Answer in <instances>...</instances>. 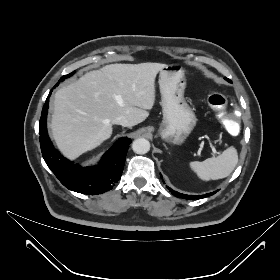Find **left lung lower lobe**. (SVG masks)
I'll return each mask as SVG.
<instances>
[{
	"mask_svg": "<svg viewBox=\"0 0 280 280\" xmlns=\"http://www.w3.org/2000/svg\"><path fill=\"white\" fill-rule=\"evenodd\" d=\"M161 178H162V176H161ZM166 187L169 189L171 194H173L175 197H179V198H183V199H190V200L205 198V197L211 196L214 193H216V191H215V192H211L210 194H205V195H201V196L185 195V194L178 193L177 191L170 189L168 186H166Z\"/></svg>",
	"mask_w": 280,
	"mask_h": 280,
	"instance_id": "obj_1",
	"label": "left lung lower lobe"
}]
</instances>
